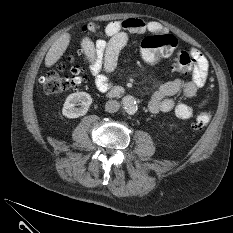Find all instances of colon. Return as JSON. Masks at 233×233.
<instances>
[{"mask_svg":"<svg viewBox=\"0 0 233 233\" xmlns=\"http://www.w3.org/2000/svg\"><path fill=\"white\" fill-rule=\"evenodd\" d=\"M178 41L171 34H152L147 36L141 43V54L148 64H155L162 58H172V65L180 73L187 74L193 70V59L189 52L177 49ZM85 53V52H84ZM73 57L67 62L57 63L46 71L39 79V84L46 94H58L82 85L85 81L83 70L78 66L71 69L70 74H64L66 63H72ZM211 113L204 111L194 119L193 126L201 129L208 125Z\"/></svg>","mask_w":233,"mask_h":233,"instance_id":"colon-1","label":"colon"}]
</instances>
